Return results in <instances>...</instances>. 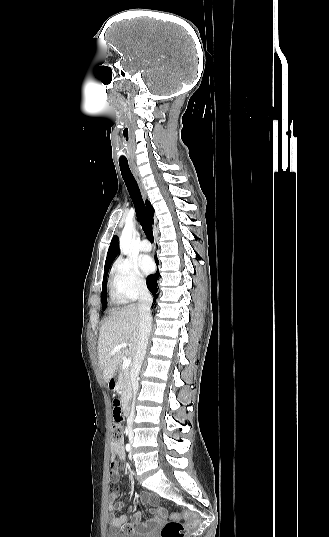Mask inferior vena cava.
Here are the masks:
<instances>
[{"mask_svg":"<svg viewBox=\"0 0 329 537\" xmlns=\"http://www.w3.org/2000/svg\"><path fill=\"white\" fill-rule=\"evenodd\" d=\"M152 296L146 286L141 287L138 310H139V335L136 354L133 359L131 382L134 391L133 403L130 416L127 418V426L129 430H132L134 421V406L135 397L139 387L138 375L145 358L146 349L148 345V339L151 331L152 317H151V305Z\"/></svg>","mask_w":329,"mask_h":537,"instance_id":"obj_1","label":"inferior vena cava"}]
</instances>
